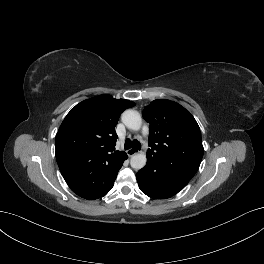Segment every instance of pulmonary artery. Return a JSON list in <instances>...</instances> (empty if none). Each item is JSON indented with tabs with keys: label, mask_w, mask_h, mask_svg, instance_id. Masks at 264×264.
Listing matches in <instances>:
<instances>
[{
	"label": "pulmonary artery",
	"mask_w": 264,
	"mask_h": 264,
	"mask_svg": "<svg viewBox=\"0 0 264 264\" xmlns=\"http://www.w3.org/2000/svg\"><path fill=\"white\" fill-rule=\"evenodd\" d=\"M147 133H148V128H147V126H143V134H144V135H147Z\"/></svg>",
	"instance_id": "e3ab8cb5"
}]
</instances>
